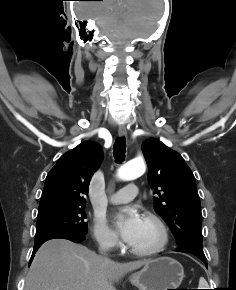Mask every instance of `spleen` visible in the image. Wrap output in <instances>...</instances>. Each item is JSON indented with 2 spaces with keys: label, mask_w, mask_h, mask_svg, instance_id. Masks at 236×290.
Listing matches in <instances>:
<instances>
[{
  "label": "spleen",
  "mask_w": 236,
  "mask_h": 290,
  "mask_svg": "<svg viewBox=\"0 0 236 290\" xmlns=\"http://www.w3.org/2000/svg\"><path fill=\"white\" fill-rule=\"evenodd\" d=\"M199 287H201V289H206L207 287V281L203 277L199 280Z\"/></svg>",
  "instance_id": "spleen-1"
}]
</instances>
